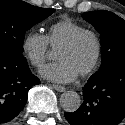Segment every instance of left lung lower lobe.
I'll return each mask as SVG.
<instances>
[{"instance_id":"left-lung-lower-lobe-1","label":"left lung lower lobe","mask_w":125,"mask_h":125,"mask_svg":"<svg viewBox=\"0 0 125 125\" xmlns=\"http://www.w3.org/2000/svg\"><path fill=\"white\" fill-rule=\"evenodd\" d=\"M84 101L65 113L71 125H118L125 117V63L93 74L83 87Z\"/></svg>"}]
</instances>
